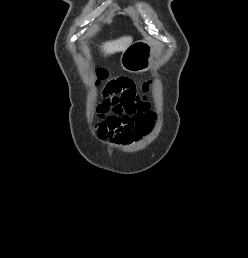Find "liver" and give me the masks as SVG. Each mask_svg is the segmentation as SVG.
<instances>
[{"instance_id": "1", "label": "liver", "mask_w": 248, "mask_h": 258, "mask_svg": "<svg viewBox=\"0 0 248 258\" xmlns=\"http://www.w3.org/2000/svg\"><path fill=\"white\" fill-rule=\"evenodd\" d=\"M132 43V37H122L115 41H109L103 44V51L105 54H113L116 52H124Z\"/></svg>"}]
</instances>
